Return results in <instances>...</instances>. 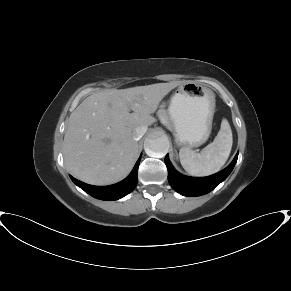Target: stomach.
I'll return each mask as SVG.
<instances>
[{"instance_id":"1","label":"stomach","mask_w":291,"mask_h":291,"mask_svg":"<svg viewBox=\"0 0 291 291\" xmlns=\"http://www.w3.org/2000/svg\"><path fill=\"white\" fill-rule=\"evenodd\" d=\"M215 106V94L208 87L192 81L179 84L168 107L169 123L178 146L191 149L206 142Z\"/></svg>"}]
</instances>
